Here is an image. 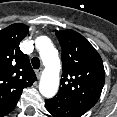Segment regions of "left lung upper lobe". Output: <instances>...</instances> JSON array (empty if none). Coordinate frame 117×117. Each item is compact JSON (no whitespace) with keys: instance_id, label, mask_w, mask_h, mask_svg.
<instances>
[{"instance_id":"5c2ea615","label":"left lung upper lobe","mask_w":117,"mask_h":117,"mask_svg":"<svg viewBox=\"0 0 117 117\" xmlns=\"http://www.w3.org/2000/svg\"><path fill=\"white\" fill-rule=\"evenodd\" d=\"M62 48L63 73L56 97L87 112L98 101L105 81L102 59L94 47L73 30L55 31Z\"/></svg>"}]
</instances>
